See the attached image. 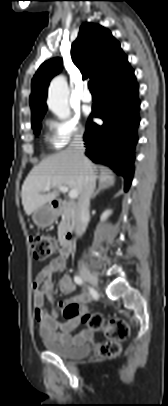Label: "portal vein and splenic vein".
Segmentation results:
<instances>
[{
    "label": "portal vein and splenic vein",
    "instance_id": "18ae733b",
    "mask_svg": "<svg viewBox=\"0 0 168 406\" xmlns=\"http://www.w3.org/2000/svg\"><path fill=\"white\" fill-rule=\"evenodd\" d=\"M49 189H50V185H48V186H46V187L44 188L45 191H48ZM59 190H61V191H63V192H68V191H69V188H68L67 186L60 185V186H59ZM69 197H70L71 199L77 198V197H78V192H77L76 190H70V191H69Z\"/></svg>",
    "mask_w": 168,
    "mask_h": 406
}]
</instances>
